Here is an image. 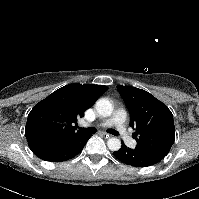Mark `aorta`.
Returning <instances> with one entry per match:
<instances>
[{
    "mask_svg": "<svg viewBox=\"0 0 199 199\" xmlns=\"http://www.w3.org/2000/svg\"><path fill=\"white\" fill-rule=\"evenodd\" d=\"M95 109L100 116L109 117L113 112V105L108 99L102 98L96 102ZM107 146L111 151H118L121 148V141L112 137L108 139Z\"/></svg>",
    "mask_w": 199,
    "mask_h": 199,
    "instance_id": "aorta-1",
    "label": "aorta"
}]
</instances>
